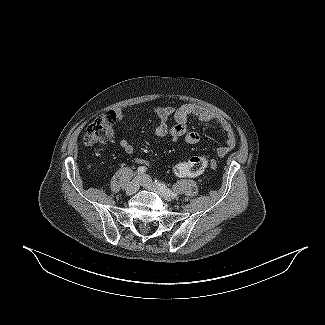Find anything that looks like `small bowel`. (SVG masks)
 <instances>
[{"label": "small bowel", "instance_id": "obj_1", "mask_svg": "<svg viewBox=\"0 0 325 325\" xmlns=\"http://www.w3.org/2000/svg\"><path fill=\"white\" fill-rule=\"evenodd\" d=\"M154 113L159 119V124L155 129V134L158 137H170L173 141L183 140L186 144L195 145L200 142V135L196 131H192L188 127V119L191 116L197 117L205 123L219 121V124L225 132V146L217 149L218 156L222 157L228 154L236 146V136L232 126L225 120H218L217 117L208 109L196 104H184L177 108L174 107H156ZM114 116L117 120L125 118L126 114L124 109H117L114 111ZM170 118H173L175 124L168 125ZM121 149L127 154L135 152L134 146L126 139L119 141ZM134 161L140 165H147V161L142 158H135ZM209 166L211 169L216 167L215 161H210ZM144 167V166H143ZM197 176V175H195ZM191 177V176H189Z\"/></svg>", "mask_w": 325, "mask_h": 325}]
</instances>
